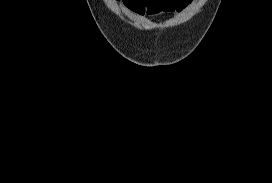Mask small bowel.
I'll use <instances>...</instances> for the list:
<instances>
[{"label": "small bowel", "instance_id": "small-bowel-1", "mask_svg": "<svg viewBox=\"0 0 272 183\" xmlns=\"http://www.w3.org/2000/svg\"><path fill=\"white\" fill-rule=\"evenodd\" d=\"M123 5L137 14H157L181 10L190 0H121Z\"/></svg>", "mask_w": 272, "mask_h": 183}]
</instances>
